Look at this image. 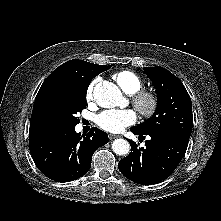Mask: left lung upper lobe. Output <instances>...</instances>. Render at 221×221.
<instances>
[{"label": "left lung upper lobe", "mask_w": 221, "mask_h": 221, "mask_svg": "<svg viewBox=\"0 0 221 221\" xmlns=\"http://www.w3.org/2000/svg\"><path fill=\"white\" fill-rule=\"evenodd\" d=\"M157 92V107L154 115L133 129L141 134L168 133L189 139L193 117L190 96L182 82L167 69L145 67Z\"/></svg>", "instance_id": "obj_1"}]
</instances>
